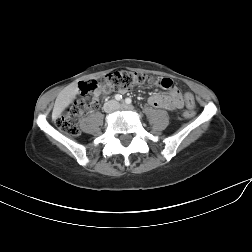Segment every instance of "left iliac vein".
<instances>
[{
  "label": "left iliac vein",
  "instance_id": "obj_1",
  "mask_svg": "<svg viewBox=\"0 0 252 252\" xmlns=\"http://www.w3.org/2000/svg\"><path fill=\"white\" fill-rule=\"evenodd\" d=\"M117 108H118V109H123V108H125V105H124V104H118V105H117Z\"/></svg>",
  "mask_w": 252,
  "mask_h": 252
}]
</instances>
